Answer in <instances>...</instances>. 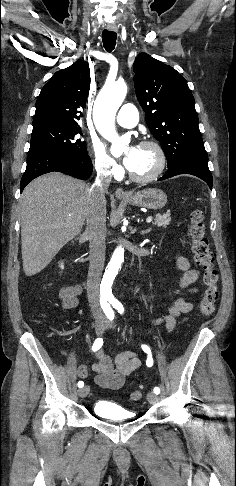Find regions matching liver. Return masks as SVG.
Returning <instances> with one entry per match:
<instances>
[{
	"label": "liver",
	"mask_w": 236,
	"mask_h": 486,
	"mask_svg": "<svg viewBox=\"0 0 236 486\" xmlns=\"http://www.w3.org/2000/svg\"><path fill=\"white\" fill-rule=\"evenodd\" d=\"M89 202L90 186L59 172L27 185L19 204L25 275L43 270L81 232Z\"/></svg>",
	"instance_id": "obj_1"
}]
</instances>
